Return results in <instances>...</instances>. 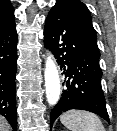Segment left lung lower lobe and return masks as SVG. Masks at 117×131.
I'll return each mask as SVG.
<instances>
[{
    "mask_svg": "<svg viewBox=\"0 0 117 131\" xmlns=\"http://www.w3.org/2000/svg\"><path fill=\"white\" fill-rule=\"evenodd\" d=\"M44 44L64 77L62 97L50 113L51 126L61 113L71 109L93 112L110 123L101 87L100 52L89 45L76 16L65 4H55L49 12Z\"/></svg>",
    "mask_w": 117,
    "mask_h": 131,
    "instance_id": "1",
    "label": "left lung lower lobe"
}]
</instances>
